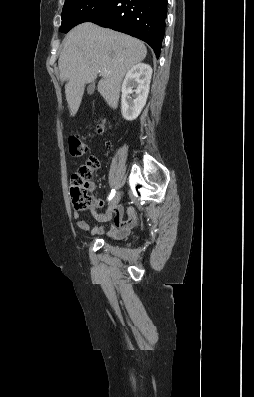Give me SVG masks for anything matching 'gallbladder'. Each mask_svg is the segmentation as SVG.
<instances>
[{
    "label": "gallbladder",
    "mask_w": 254,
    "mask_h": 397,
    "mask_svg": "<svg viewBox=\"0 0 254 397\" xmlns=\"http://www.w3.org/2000/svg\"><path fill=\"white\" fill-rule=\"evenodd\" d=\"M94 90H95V84H94V83L90 84V85L87 87V92H88V94H90V95L93 94Z\"/></svg>",
    "instance_id": "1"
}]
</instances>
